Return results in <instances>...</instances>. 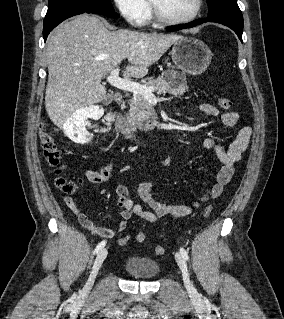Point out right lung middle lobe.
<instances>
[{
	"mask_svg": "<svg viewBox=\"0 0 284 319\" xmlns=\"http://www.w3.org/2000/svg\"><path fill=\"white\" fill-rule=\"evenodd\" d=\"M111 9L110 0H49L44 23L70 12Z\"/></svg>",
	"mask_w": 284,
	"mask_h": 319,
	"instance_id": "right-lung-middle-lobe-1",
	"label": "right lung middle lobe"
}]
</instances>
